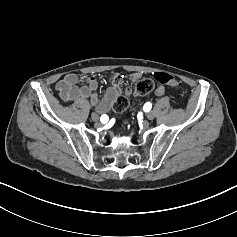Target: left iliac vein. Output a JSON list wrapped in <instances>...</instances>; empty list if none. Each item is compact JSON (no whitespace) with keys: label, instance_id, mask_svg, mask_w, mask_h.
I'll use <instances>...</instances> for the list:
<instances>
[{"label":"left iliac vein","instance_id":"1","mask_svg":"<svg viewBox=\"0 0 237 237\" xmlns=\"http://www.w3.org/2000/svg\"><path fill=\"white\" fill-rule=\"evenodd\" d=\"M154 114H153V112H148L147 114H146V118L148 119V120H153L154 119Z\"/></svg>","mask_w":237,"mask_h":237}]
</instances>
